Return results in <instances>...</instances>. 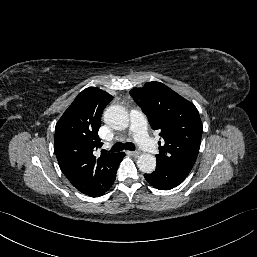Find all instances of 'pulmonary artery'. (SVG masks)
Wrapping results in <instances>:
<instances>
[{"label":"pulmonary artery","mask_w":257,"mask_h":257,"mask_svg":"<svg viewBox=\"0 0 257 257\" xmlns=\"http://www.w3.org/2000/svg\"><path fill=\"white\" fill-rule=\"evenodd\" d=\"M130 116V131L134 134L137 143L144 151L154 154L157 151V146L146 132V119L144 115L139 110H132Z\"/></svg>","instance_id":"obj_1"}]
</instances>
